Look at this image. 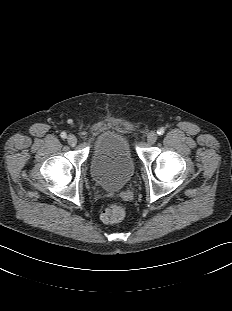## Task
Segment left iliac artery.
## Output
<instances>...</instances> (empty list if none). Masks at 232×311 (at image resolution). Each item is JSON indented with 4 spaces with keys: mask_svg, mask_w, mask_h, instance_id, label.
Masks as SVG:
<instances>
[{
    "mask_svg": "<svg viewBox=\"0 0 232 311\" xmlns=\"http://www.w3.org/2000/svg\"><path fill=\"white\" fill-rule=\"evenodd\" d=\"M164 132H165V130H164L163 128H159V129L157 130V134H158V135H163Z\"/></svg>",
    "mask_w": 232,
    "mask_h": 311,
    "instance_id": "left-iliac-artery-1",
    "label": "left iliac artery"
}]
</instances>
